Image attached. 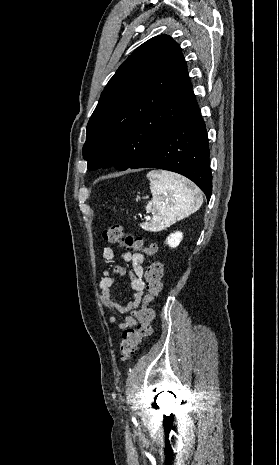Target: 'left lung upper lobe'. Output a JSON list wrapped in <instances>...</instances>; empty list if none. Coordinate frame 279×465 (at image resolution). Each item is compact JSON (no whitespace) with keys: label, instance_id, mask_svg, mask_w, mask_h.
<instances>
[{"label":"left lung upper lobe","instance_id":"1","mask_svg":"<svg viewBox=\"0 0 279 465\" xmlns=\"http://www.w3.org/2000/svg\"><path fill=\"white\" fill-rule=\"evenodd\" d=\"M191 94L180 46L167 35L143 43L109 80L88 122V169L130 168L170 129Z\"/></svg>","mask_w":279,"mask_h":465}]
</instances>
